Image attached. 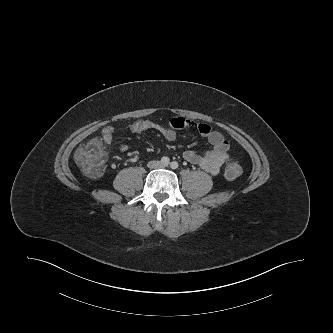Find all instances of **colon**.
Wrapping results in <instances>:
<instances>
[{"mask_svg":"<svg viewBox=\"0 0 333 333\" xmlns=\"http://www.w3.org/2000/svg\"><path fill=\"white\" fill-rule=\"evenodd\" d=\"M106 158L105 145L100 140H91L80 146L74 155L78 167L89 177H99L104 168ZM242 168L240 164L231 160L225 168V176L228 179H236L240 176Z\"/></svg>","mask_w":333,"mask_h":333,"instance_id":"5ec220e1","label":"colon"}]
</instances>
